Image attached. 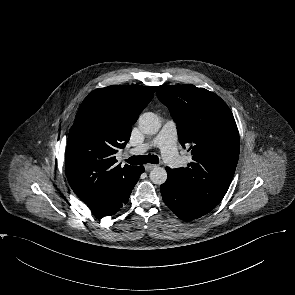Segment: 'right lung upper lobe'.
Segmentation results:
<instances>
[{
  "label": "right lung upper lobe",
  "instance_id": "obj_1",
  "mask_svg": "<svg viewBox=\"0 0 295 295\" xmlns=\"http://www.w3.org/2000/svg\"><path fill=\"white\" fill-rule=\"evenodd\" d=\"M156 87L114 85L96 89L82 102L70 129L65 168L74 193L89 207L135 168L117 164L115 154L124 148L131 126L152 100ZM97 101L103 112H93Z\"/></svg>",
  "mask_w": 295,
  "mask_h": 295
}]
</instances>
